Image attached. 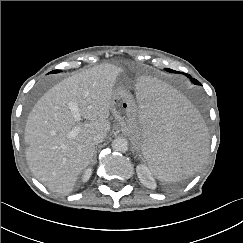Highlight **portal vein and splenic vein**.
Returning <instances> with one entry per match:
<instances>
[{
	"label": "portal vein and splenic vein",
	"mask_w": 243,
	"mask_h": 243,
	"mask_svg": "<svg viewBox=\"0 0 243 243\" xmlns=\"http://www.w3.org/2000/svg\"><path fill=\"white\" fill-rule=\"evenodd\" d=\"M68 107L75 119V121H80L81 120V114H80V110L79 107L76 103L73 102H69L68 103ZM80 128L79 127H74L71 131H70V136L74 137L79 133Z\"/></svg>",
	"instance_id": "obj_1"
}]
</instances>
